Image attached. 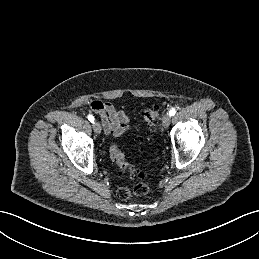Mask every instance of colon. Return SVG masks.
<instances>
[{
    "label": "colon",
    "instance_id": "obj_1",
    "mask_svg": "<svg viewBox=\"0 0 259 259\" xmlns=\"http://www.w3.org/2000/svg\"><path fill=\"white\" fill-rule=\"evenodd\" d=\"M160 115L161 108L159 106H152L143 112L142 117L149 133H153L158 129ZM109 153L112 161L117 164L120 169L128 172L132 177L139 176L141 179L144 178V174L141 171L126 161L123 152L118 146L112 145L109 149ZM148 191V184L139 181L130 188H120L118 190V197L122 200H127L132 196L145 195Z\"/></svg>",
    "mask_w": 259,
    "mask_h": 259
}]
</instances>
